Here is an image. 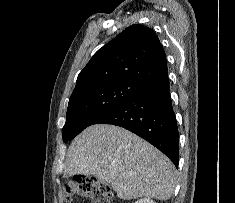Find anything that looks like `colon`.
Instances as JSON below:
<instances>
[{
  "label": "colon",
  "instance_id": "5ec220e1",
  "mask_svg": "<svg viewBox=\"0 0 235 203\" xmlns=\"http://www.w3.org/2000/svg\"><path fill=\"white\" fill-rule=\"evenodd\" d=\"M65 199L70 201L72 196L78 195L87 198L92 203H113V193L109 185H100L89 176L76 175L73 180L64 185Z\"/></svg>",
  "mask_w": 235,
  "mask_h": 203
}]
</instances>
